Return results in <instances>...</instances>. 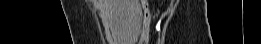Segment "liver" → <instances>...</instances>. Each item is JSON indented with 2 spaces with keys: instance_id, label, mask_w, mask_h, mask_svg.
<instances>
[{
  "instance_id": "liver-1",
  "label": "liver",
  "mask_w": 261,
  "mask_h": 44,
  "mask_svg": "<svg viewBox=\"0 0 261 44\" xmlns=\"http://www.w3.org/2000/svg\"><path fill=\"white\" fill-rule=\"evenodd\" d=\"M112 35L121 44L136 42L141 27L139 0H107Z\"/></svg>"
}]
</instances>
